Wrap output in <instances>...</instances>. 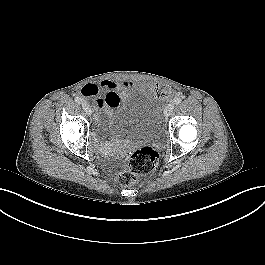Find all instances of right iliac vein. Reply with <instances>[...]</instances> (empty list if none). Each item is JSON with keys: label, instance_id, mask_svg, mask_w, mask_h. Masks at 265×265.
<instances>
[{"label": "right iliac vein", "instance_id": "obj_1", "mask_svg": "<svg viewBox=\"0 0 265 265\" xmlns=\"http://www.w3.org/2000/svg\"><path fill=\"white\" fill-rule=\"evenodd\" d=\"M82 107H83L85 113H86L88 116H91V114H92V110H91L90 105H89L87 102H84V103L82 104Z\"/></svg>", "mask_w": 265, "mask_h": 265}]
</instances>
